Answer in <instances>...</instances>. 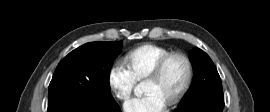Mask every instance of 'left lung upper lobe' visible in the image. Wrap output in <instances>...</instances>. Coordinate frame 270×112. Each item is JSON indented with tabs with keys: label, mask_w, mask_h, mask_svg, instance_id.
<instances>
[{
	"label": "left lung upper lobe",
	"mask_w": 270,
	"mask_h": 112,
	"mask_svg": "<svg viewBox=\"0 0 270 112\" xmlns=\"http://www.w3.org/2000/svg\"><path fill=\"white\" fill-rule=\"evenodd\" d=\"M190 61L195 78L179 107L202 102L210 97L223 99L221 79L210 57L201 49H194L190 52Z\"/></svg>",
	"instance_id": "1"
}]
</instances>
